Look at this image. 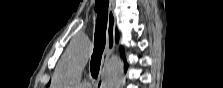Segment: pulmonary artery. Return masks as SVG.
<instances>
[{
	"instance_id": "pulmonary-artery-1",
	"label": "pulmonary artery",
	"mask_w": 223,
	"mask_h": 88,
	"mask_svg": "<svg viewBox=\"0 0 223 88\" xmlns=\"http://www.w3.org/2000/svg\"><path fill=\"white\" fill-rule=\"evenodd\" d=\"M79 87L80 88H90L91 85L88 81H83V82L80 83Z\"/></svg>"
}]
</instances>
